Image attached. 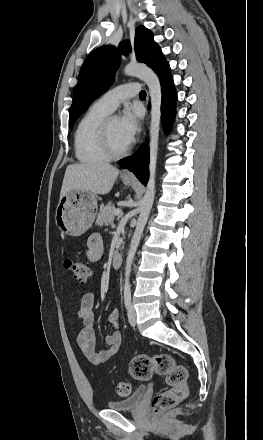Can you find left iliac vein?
Here are the masks:
<instances>
[{"label":"left iliac vein","instance_id":"left-iliac-vein-1","mask_svg":"<svg viewBox=\"0 0 263 440\" xmlns=\"http://www.w3.org/2000/svg\"><path fill=\"white\" fill-rule=\"evenodd\" d=\"M128 321L132 327L136 325V311L132 305L128 308Z\"/></svg>","mask_w":263,"mask_h":440}]
</instances>
